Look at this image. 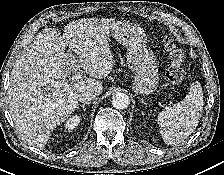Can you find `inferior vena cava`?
<instances>
[{"mask_svg":"<svg viewBox=\"0 0 224 175\" xmlns=\"http://www.w3.org/2000/svg\"><path fill=\"white\" fill-rule=\"evenodd\" d=\"M96 95H97V93H96L95 91H93V90H91V91H83V92H81V94L79 95L78 100H79L80 102H84V103H86V102H89V101H91L92 99H94V98L96 97Z\"/></svg>","mask_w":224,"mask_h":175,"instance_id":"1","label":"inferior vena cava"}]
</instances>
